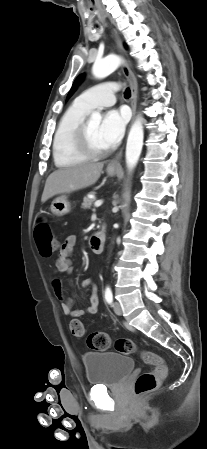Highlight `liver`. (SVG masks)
I'll return each instance as SVG.
<instances>
[{
  "label": "liver",
  "mask_w": 207,
  "mask_h": 449,
  "mask_svg": "<svg viewBox=\"0 0 207 449\" xmlns=\"http://www.w3.org/2000/svg\"><path fill=\"white\" fill-rule=\"evenodd\" d=\"M103 163H87L54 171L46 180L41 202L62 193H69L93 185L103 169Z\"/></svg>",
  "instance_id": "6515ba94"
}]
</instances>
